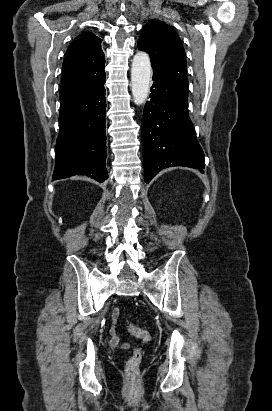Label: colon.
Masks as SVG:
<instances>
[{"instance_id": "obj_1", "label": "colon", "mask_w": 272, "mask_h": 411, "mask_svg": "<svg viewBox=\"0 0 272 411\" xmlns=\"http://www.w3.org/2000/svg\"><path fill=\"white\" fill-rule=\"evenodd\" d=\"M128 330L135 337L140 340L147 342L151 339L150 333L143 328L137 327L136 325L129 323ZM142 360V352L139 348H135L132 355L128 358L126 362V372L128 375L129 385L132 387L137 386L138 383V373L139 367Z\"/></svg>"}]
</instances>
